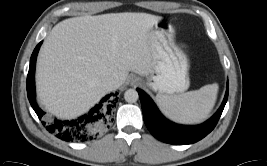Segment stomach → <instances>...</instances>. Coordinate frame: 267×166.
I'll list each match as a JSON object with an SVG mask.
<instances>
[{"mask_svg":"<svg viewBox=\"0 0 267 166\" xmlns=\"http://www.w3.org/2000/svg\"><path fill=\"white\" fill-rule=\"evenodd\" d=\"M152 35L153 66L147 75L149 86L162 94L184 92L189 87V61L176 44L172 27L158 22L152 30Z\"/></svg>","mask_w":267,"mask_h":166,"instance_id":"obj_1","label":"stomach"}]
</instances>
